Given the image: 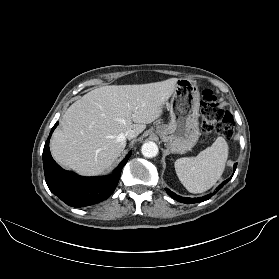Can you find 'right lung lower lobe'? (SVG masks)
<instances>
[{
  "instance_id": "98d812e1",
  "label": "right lung lower lobe",
  "mask_w": 279,
  "mask_h": 279,
  "mask_svg": "<svg viewBox=\"0 0 279 279\" xmlns=\"http://www.w3.org/2000/svg\"><path fill=\"white\" fill-rule=\"evenodd\" d=\"M57 125L58 122L51 129L43 150L45 180L50 191L72 207L93 205L110 197L118 184L123 166L131 156V151L109 176H77L62 169L51 156L49 141Z\"/></svg>"
}]
</instances>
